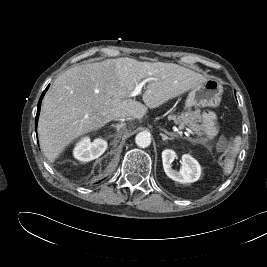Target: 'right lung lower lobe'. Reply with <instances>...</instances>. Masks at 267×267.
Wrapping results in <instances>:
<instances>
[{"label":"right lung lower lobe","mask_w":267,"mask_h":267,"mask_svg":"<svg viewBox=\"0 0 267 267\" xmlns=\"http://www.w3.org/2000/svg\"><path fill=\"white\" fill-rule=\"evenodd\" d=\"M48 87H49V86H48ZM48 87L44 90L43 94H42L41 97H40L39 103H38L37 115H36V122H35L36 127H37V122H38V117H39V112H40V107H41V101H42V98H43L44 94L46 93Z\"/></svg>","instance_id":"1"}]
</instances>
